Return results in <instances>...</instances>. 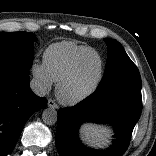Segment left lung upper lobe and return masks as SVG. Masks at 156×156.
<instances>
[{"label":"left lung upper lobe","mask_w":156,"mask_h":156,"mask_svg":"<svg viewBox=\"0 0 156 156\" xmlns=\"http://www.w3.org/2000/svg\"><path fill=\"white\" fill-rule=\"evenodd\" d=\"M109 55L104 76L96 90L109 86H131L141 88V77L136 65L131 61L119 42L104 39Z\"/></svg>","instance_id":"5c2ea615"}]
</instances>
